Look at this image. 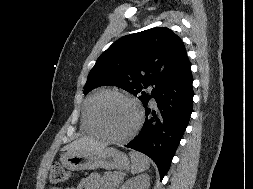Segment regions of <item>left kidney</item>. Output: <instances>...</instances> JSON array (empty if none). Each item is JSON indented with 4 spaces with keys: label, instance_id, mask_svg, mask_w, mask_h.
<instances>
[{
    "label": "left kidney",
    "instance_id": "1",
    "mask_svg": "<svg viewBox=\"0 0 253 189\" xmlns=\"http://www.w3.org/2000/svg\"><path fill=\"white\" fill-rule=\"evenodd\" d=\"M149 186L150 178L148 175L143 174L128 180L120 189H149Z\"/></svg>",
    "mask_w": 253,
    "mask_h": 189
}]
</instances>
